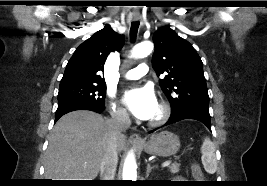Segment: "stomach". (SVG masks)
Returning a JSON list of instances; mask_svg holds the SVG:
<instances>
[{
	"label": "stomach",
	"instance_id": "0dacf381",
	"mask_svg": "<svg viewBox=\"0 0 267 186\" xmlns=\"http://www.w3.org/2000/svg\"><path fill=\"white\" fill-rule=\"evenodd\" d=\"M140 147L147 154L168 157L177 153L180 148V140L174 133L162 131L152 135Z\"/></svg>",
	"mask_w": 267,
	"mask_h": 186
}]
</instances>
